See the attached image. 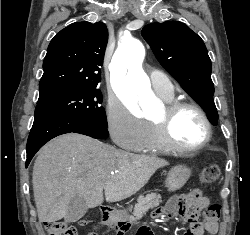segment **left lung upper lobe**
Here are the masks:
<instances>
[{
  "mask_svg": "<svg viewBox=\"0 0 250 235\" xmlns=\"http://www.w3.org/2000/svg\"><path fill=\"white\" fill-rule=\"evenodd\" d=\"M141 34L161 65L217 125L211 60L201 37L179 21L148 24Z\"/></svg>",
  "mask_w": 250,
  "mask_h": 235,
  "instance_id": "5c2ea615",
  "label": "left lung upper lobe"
}]
</instances>
